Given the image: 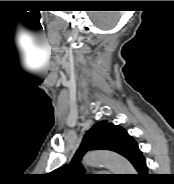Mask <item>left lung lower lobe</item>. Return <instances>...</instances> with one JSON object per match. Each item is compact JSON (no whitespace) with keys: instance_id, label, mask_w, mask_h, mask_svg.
Segmentation results:
<instances>
[{"instance_id":"obj_1","label":"left lung lower lobe","mask_w":174,"mask_h":184,"mask_svg":"<svg viewBox=\"0 0 174 184\" xmlns=\"http://www.w3.org/2000/svg\"><path fill=\"white\" fill-rule=\"evenodd\" d=\"M125 157L133 164V166L137 170L138 172L137 177L145 178L148 176L145 159L142 155V152L139 150L137 143H135L130 148V150L128 151Z\"/></svg>"}]
</instances>
